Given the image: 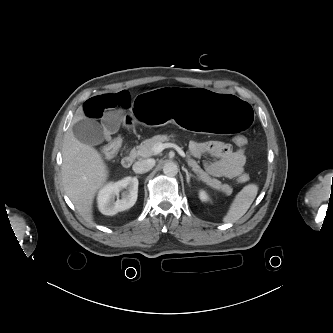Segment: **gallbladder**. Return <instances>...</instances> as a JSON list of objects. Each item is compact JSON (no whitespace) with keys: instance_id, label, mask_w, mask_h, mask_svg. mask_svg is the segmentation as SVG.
Listing matches in <instances>:
<instances>
[{"instance_id":"bac80fb5","label":"gallbladder","mask_w":333,"mask_h":333,"mask_svg":"<svg viewBox=\"0 0 333 333\" xmlns=\"http://www.w3.org/2000/svg\"><path fill=\"white\" fill-rule=\"evenodd\" d=\"M74 136L87 145H97L103 142L102 127L94 120L82 119L73 125Z\"/></svg>"}]
</instances>
